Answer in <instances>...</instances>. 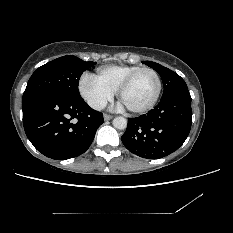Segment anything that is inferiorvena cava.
Listing matches in <instances>:
<instances>
[{
	"mask_svg": "<svg viewBox=\"0 0 233 233\" xmlns=\"http://www.w3.org/2000/svg\"><path fill=\"white\" fill-rule=\"evenodd\" d=\"M91 107L95 110H103L106 107V102L104 101H99V102H94Z\"/></svg>",
	"mask_w": 233,
	"mask_h": 233,
	"instance_id": "obj_1",
	"label": "inferior vena cava"
}]
</instances>
